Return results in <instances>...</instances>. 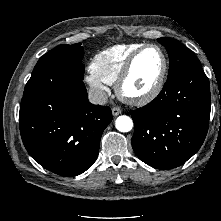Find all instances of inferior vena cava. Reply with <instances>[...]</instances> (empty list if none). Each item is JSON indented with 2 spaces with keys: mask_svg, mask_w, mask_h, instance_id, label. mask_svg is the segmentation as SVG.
Listing matches in <instances>:
<instances>
[{
  "mask_svg": "<svg viewBox=\"0 0 221 221\" xmlns=\"http://www.w3.org/2000/svg\"><path fill=\"white\" fill-rule=\"evenodd\" d=\"M88 99L92 104L104 105L108 101L107 93L98 88H91L88 92Z\"/></svg>",
  "mask_w": 221,
  "mask_h": 221,
  "instance_id": "obj_1",
  "label": "inferior vena cava"
}]
</instances>
